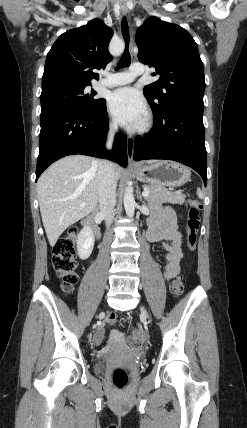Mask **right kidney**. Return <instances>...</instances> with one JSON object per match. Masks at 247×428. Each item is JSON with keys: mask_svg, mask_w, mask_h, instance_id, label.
<instances>
[{"mask_svg": "<svg viewBox=\"0 0 247 428\" xmlns=\"http://www.w3.org/2000/svg\"><path fill=\"white\" fill-rule=\"evenodd\" d=\"M95 238L89 227H84L77 236V252L79 258L87 259L94 247Z\"/></svg>", "mask_w": 247, "mask_h": 428, "instance_id": "ca27d5eb", "label": "right kidney"}]
</instances>
